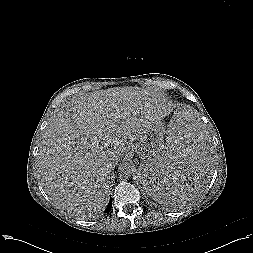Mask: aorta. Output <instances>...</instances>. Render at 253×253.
I'll use <instances>...</instances> for the list:
<instances>
[{
    "mask_svg": "<svg viewBox=\"0 0 253 253\" xmlns=\"http://www.w3.org/2000/svg\"><path fill=\"white\" fill-rule=\"evenodd\" d=\"M135 171L133 163L124 161L118 167V172L121 177H130Z\"/></svg>",
    "mask_w": 253,
    "mask_h": 253,
    "instance_id": "aorta-1",
    "label": "aorta"
}]
</instances>
